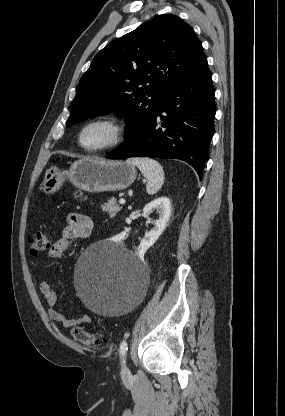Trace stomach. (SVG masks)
Here are the masks:
<instances>
[{
	"label": "stomach",
	"instance_id": "obj_1",
	"mask_svg": "<svg viewBox=\"0 0 285 416\" xmlns=\"http://www.w3.org/2000/svg\"><path fill=\"white\" fill-rule=\"evenodd\" d=\"M136 176L134 166L122 160L84 158L76 160L65 172L55 166L49 168L40 190L43 194H54L60 190L65 180H69L84 192H121L133 184Z\"/></svg>",
	"mask_w": 285,
	"mask_h": 416
}]
</instances>
